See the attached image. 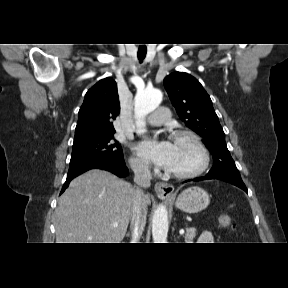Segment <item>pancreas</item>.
<instances>
[{
    "label": "pancreas",
    "instance_id": "cf45deb5",
    "mask_svg": "<svg viewBox=\"0 0 288 288\" xmlns=\"http://www.w3.org/2000/svg\"><path fill=\"white\" fill-rule=\"evenodd\" d=\"M196 236V229L195 228H187L185 234V241L186 243H193V240Z\"/></svg>",
    "mask_w": 288,
    "mask_h": 288
}]
</instances>
